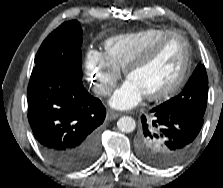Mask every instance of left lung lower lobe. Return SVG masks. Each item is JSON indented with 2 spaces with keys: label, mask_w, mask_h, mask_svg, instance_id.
I'll return each mask as SVG.
<instances>
[{
  "label": "left lung lower lobe",
  "mask_w": 223,
  "mask_h": 188,
  "mask_svg": "<svg viewBox=\"0 0 223 188\" xmlns=\"http://www.w3.org/2000/svg\"><path fill=\"white\" fill-rule=\"evenodd\" d=\"M149 121L142 116V129L137 137L139 157L169 167L183 160L192 150L203 125V117L188 113H170L157 106L151 110ZM158 143L162 154L154 152L151 145Z\"/></svg>",
  "instance_id": "obj_1"
}]
</instances>
